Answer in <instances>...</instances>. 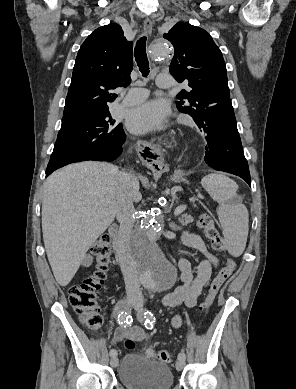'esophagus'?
Masks as SVG:
<instances>
[{
	"label": "esophagus",
	"mask_w": 296,
	"mask_h": 389,
	"mask_svg": "<svg viewBox=\"0 0 296 389\" xmlns=\"http://www.w3.org/2000/svg\"><path fill=\"white\" fill-rule=\"evenodd\" d=\"M152 28V21L149 18L145 19L144 32L146 34H151ZM158 134L160 137L165 138L168 136L169 131L167 128L162 127L159 129ZM136 143L142 155V164L145 169H161L162 171L168 170V165L165 163L163 153L159 147L147 142L146 138L143 136L138 137Z\"/></svg>",
	"instance_id": "1"
}]
</instances>
